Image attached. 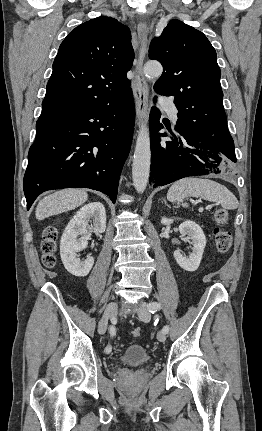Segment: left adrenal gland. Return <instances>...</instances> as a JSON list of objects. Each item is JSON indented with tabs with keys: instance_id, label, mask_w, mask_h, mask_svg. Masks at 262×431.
I'll return each instance as SVG.
<instances>
[{
	"instance_id": "obj_1",
	"label": "left adrenal gland",
	"mask_w": 262,
	"mask_h": 431,
	"mask_svg": "<svg viewBox=\"0 0 262 431\" xmlns=\"http://www.w3.org/2000/svg\"><path fill=\"white\" fill-rule=\"evenodd\" d=\"M162 200H163V202L165 203V205H167V206L169 207V205H168V203H167L166 199H165V198H163Z\"/></svg>"
}]
</instances>
